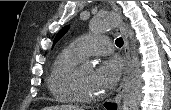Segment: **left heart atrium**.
Returning a JSON list of instances; mask_svg holds the SVG:
<instances>
[{"label": "left heart atrium", "mask_w": 171, "mask_h": 110, "mask_svg": "<svg viewBox=\"0 0 171 110\" xmlns=\"http://www.w3.org/2000/svg\"><path fill=\"white\" fill-rule=\"evenodd\" d=\"M122 62L112 58L102 62L94 72V81L102 92L112 89L118 82L122 72Z\"/></svg>", "instance_id": "39dd6f15"}]
</instances>
